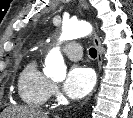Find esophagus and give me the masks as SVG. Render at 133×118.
<instances>
[{
  "label": "esophagus",
  "instance_id": "1",
  "mask_svg": "<svg viewBox=\"0 0 133 118\" xmlns=\"http://www.w3.org/2000/svg\"><path fill=\"white\" fill-rule=\"evenodd\" d=\"M79 2L84 9H86V10L88 9V4L85 0H79ZM93 42L97 49V62H98L99 71H101L102 62H103V57H102L103 48L101 45V41L96 33L93 34ZM87 101L88 100H86L81 106H83Z\"/></svg>",
  "mask_w": 133,
  "mask_h": 118
}]
</instances>
